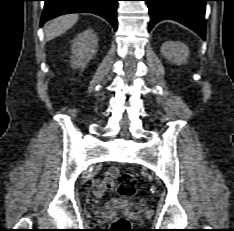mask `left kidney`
<instances>
[{"mask_svg": "<svg viewBox=\"0 0 234 231\" xmlns=\"http://www.w3.org/2000/svg\"><path fill=\"white\" fill-rule=\"evenodd\" d=\"M161 52L171 63L181 65L187 62L189 49L187 45L177 41H166L161 47Z\"/></svg>", "mask_w": 234, "mask_h": 231, "instance_id": "left-kidney-1", "label": "left kidney"}]
</instances>
